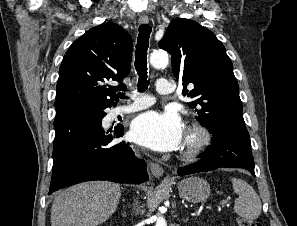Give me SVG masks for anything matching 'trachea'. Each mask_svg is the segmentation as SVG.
Wrapping results in <instances>:
<instances>
[{"label":"trachea","instance_id":"1","mask_svg":"<svg viewBox=\"0 0 297 226\" xmlns=\"http://www.w3.org/2000/svg\"><path fill=\"white\" fill-rule=\"evenodd\" d=\"M151 30L152 29L148 24H142L139 27V35L135 50V68L139 76V92L145 91L149 85V81L147 80V50ZM118 97L123 99L125 98V95L119 92Z\"/></svg>","mask_w":297,"mask_h":226}]
</instances>
